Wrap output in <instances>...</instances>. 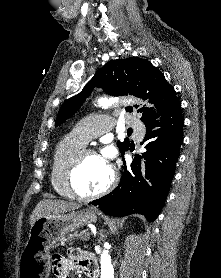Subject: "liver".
<instances>
[{
    "label": "liver",
    "instance_id": "6515ba94",
    "mask_svg": "<svg viewBox=\"0 0 221 278\" xmlns=\"http://www.w3.org/2000/svg\"><path fill=\"white\" fill-rule=\"evenodd\" d=\"M80 208V205L73 202L63 200H42L35 207L30 217V225L32 226L37 219L49 214H62Z\"/></svg>",
    "mask_w": 221,
    "mask_h": 278
}]
</instances>
